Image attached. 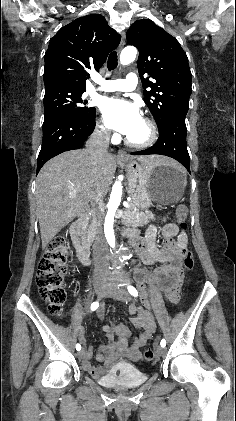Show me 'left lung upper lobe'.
<instances>
[{
    "label": "left lung upper lobe",
    "mask_w": 236,
    "mask_h": 421,
    "mask_svg": "<svg viewBox=\"0 0 236 421\" xmlns=\"http://www.w3.org/2000/svg\"><path fill=\"white\" fill-rule=\"evenodd\" d=\"M126 38L139 50L138 71L144 101L157 126L174 112L187 113L192 75L187 55L178 41L148 19L135 21ZM144 74H149L153 81L144 78Z\"/></svg>",
    "instance_id": "1"
}]
</instances>
